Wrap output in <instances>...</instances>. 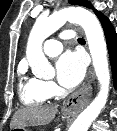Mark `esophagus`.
I'll return each instance as SVG.
<instances>
[{"mask_svg":"<svg viewBox=\"0 0 117 131\" xmlns=\"http://www.w3.org/2000/svg\"><path fill=\"white\" fill-rule=\"evenodd\" d=\"M95 79V74L92 68H90L88 73L87 83L64 103L63 109L72 114L79 113L90 101L92 96V82Z\"/></svg>","mask_w":117,"mask_h":131,"instance_id":"1","label":"esophagus"}]
</instances>
